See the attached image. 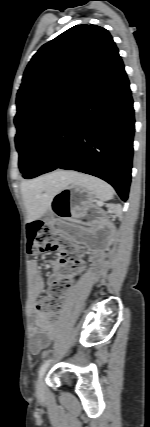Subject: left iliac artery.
<instances>
[{
  "mask_svg": "<svg viewBox=\"0 0 150 427\" xmlns=\"http://www.w3.org/2000/svg\"><path fill=\"white\" fill-rule=\"evenodd\" d=\"M50 362H51V359H48L42 364V366L40 367V370H39V377H41L45 373Z\"/></svg>",
  "mask_w": 150,
  "mask_h": 427,
  "instance_id": "left-iliac-artery-1",
  "label": "left iliac artery"
}]
</instances>
